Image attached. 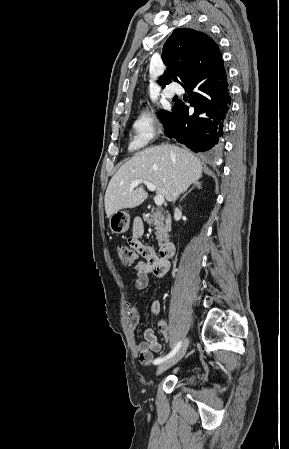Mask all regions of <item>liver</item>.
<instances>
[{
  "label": "liver",
  "instance_id": "obj_1",
  "mask_svg": "<svg viewBox=\"0 0 289 449\" xmlns=\"http://www.w3.org/2000/svg\"><path fill=\"white\" fill-rule=\"evenodd\" d=\"M202 176L201 161L187 149L172 145L146 148L124 163L111 178L105 193L108 218L115 212L141 205L148 194L143 186L131 190L138 179L150 181L156 192L168 202L177 197Z\"/></svg>",
  "mask_w": 289,
  "mask_h": 449
}]
</instances>
